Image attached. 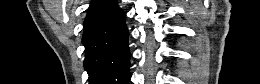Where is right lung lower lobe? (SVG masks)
Returning <instances> with one entry per match:
<instances>
[{
    "instance_id": "1",
    "label": "right lung lower lobe",
    "mask_w": 260,
    "mask_h": 84,
    "mask_svg": "<svg viewBox=\"0 0 260 84\" xmlns=\"http://www.w3.org/2000/svg\"><path fill=\"white\" fill-rule=\"evenodd\" d=\"M115 0H93L83 25L84 68L90 84H128L129 32Z\"/></svg>"
}]
</instances>
